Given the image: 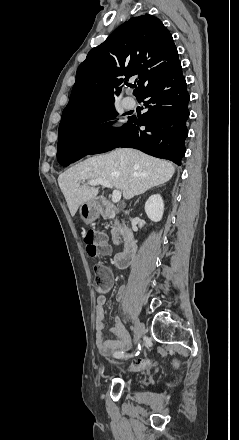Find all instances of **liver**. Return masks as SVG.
<instances>
[{
  "mask_svg": "<svg viewBox=\"0 0 239 440\" xmlns=\"http://www.w3.org/2000/svg\"><path fill=\"white\" fill-rule=\"evenodd\" d=\"M174 172L172 162L152 158L139 150L117 148L72 166L60 174L58 184L73 218L81 204L96 200L99 194L98 188L78 186L84 180H106L122 192L124 200H131L154 186L169 182Z\"/></svg>",
  "mask_w": 239,
  "mask_h": 440,
  "instance_id": "6515ba94",
  "label": "liver"
}]
</instances>
